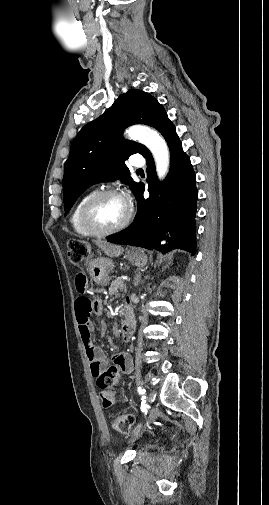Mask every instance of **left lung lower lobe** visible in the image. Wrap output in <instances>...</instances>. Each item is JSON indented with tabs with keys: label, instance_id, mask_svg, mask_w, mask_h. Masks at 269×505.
Instances as JSON below:
<instances>
[{
	"label": "left lung lower lobe",
	"instance_id": "1",
	"mask_svg": "<svg viewBox=\"0 0 269 505\" xmlns=\"http://www.w3.org/2000/svg\"><path fill=\"white\" fill-rule=\"evenodd\" d=\"M155 128L163 135L171 154L170 172L159 184L150 151L147 160V182L150 197L144 199L141 183L136 199L138 211L133 223L109 242L167 252L180 248L196 252V177L189 157L183 152L174 124L166 115ZM169 242L161 245V240Z\"/></svg>",
	"mask_w": 269,
	"mask_h": 505
}]
</instances>
